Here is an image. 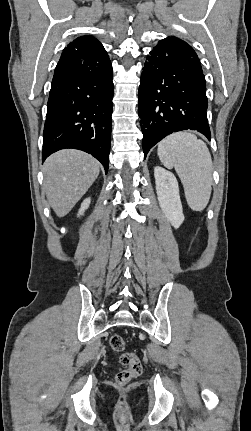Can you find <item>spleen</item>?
<instances>
[{
    "label": "spleen",
    "mask_w": 251,
    "mask_h": 431,
    "mask_svg": "<svg viewBox=\"0 0 251 431\" xmlns=\"http://www.w3.org/2000/svg\"><path fill=\"white\" fill-rule=\"evenodd\" d=\"M157 152L166 168H175L189 207L202 211L210 199L213 171L211 155L204 141L192 133L178 132L163 139Z\"/></svg>",
    "instance_id": "1"
}]
</instances>
